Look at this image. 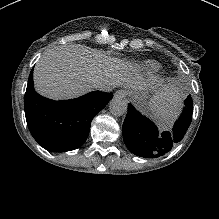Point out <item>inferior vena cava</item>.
Here are the masks:
<instances>
[{
    "instance_id": "1",
    "label": "inferior vena cava",
    "mask_w": 219,
    "mask_h": 219,
    "mask_svg": "<svg viewBox=\"0 0 219 219\" xmlns=\"http://www.w3.org/2000/svg\"><path fill=\"white\" fill-rule=\"evenodd\" d=\"M94 89L102 92H111L113 90V83L105 77L95 78L92 82Z\"/></svg>"
}]
</instances>
